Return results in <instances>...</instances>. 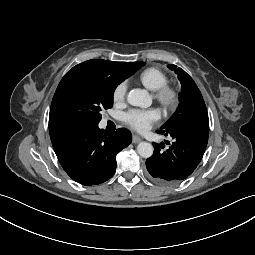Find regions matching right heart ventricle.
<instances>
[{
    "label": "right heart ventricle",
    "mask_w": 255,
    "mask_h": 255,
    "mask_svg": "<svg viewBox=\"0 0 255 255\" xmlns=\"http://www.w3.org/2000/svg\"><path fill=\"white\" fill-rule=\"evenodd\" d=\"M139 82L149 89L155 91L168 83L167 75L160 69L149 67L144 69L138 76Z\"/></svg>",
    "instance_id": "1"
}]
</instances>
